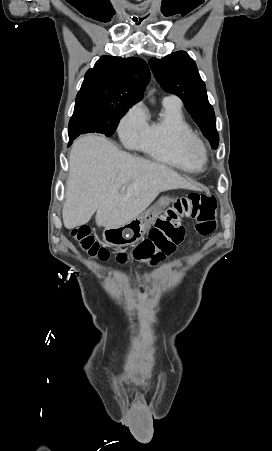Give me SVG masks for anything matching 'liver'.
I'll return each mask as SVG.
<instances>
[{
	"mask_svg": "<svg viewBox=\"0 0 272 451\" xmlns=\"http://www.w3.org/2000/svg\"><path fill=\"white\" fill-rule=\"evenodd\" d=\"M68 176L62 210L68 229L87 224L95 212L97 226H122L142 214L160 192L195 190L171 168L121 152L94 134L75 140Z\"/></svg>",
	"mask_w": 272,
	"mask_h": 451,
	"instance_id": "liver-1",
	"label": "liver"
}]
</instances>
